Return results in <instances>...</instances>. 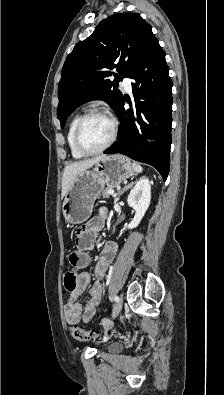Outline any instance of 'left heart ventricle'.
<instances>
[{"instance_id": "left-heart-ventricle-1", "label": "left heart ventricle", "mask_w": 224, "mask_h": 395, "mask_svg": "<svg viewBox=\"0 0 224 395\" xmlns=\"http://www.w3.org/2000/svg\"><path fill=\"white\" fill-rule=\"evenodd\" d=\"M111 122L103 116H91L82 125L81 143L87 150H96L102 147L110 138Z\"/></svg>"}]
</instances>
